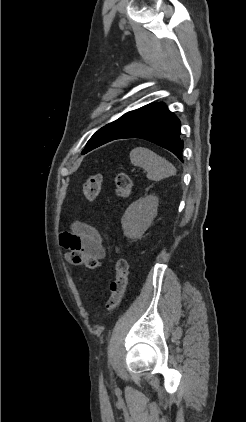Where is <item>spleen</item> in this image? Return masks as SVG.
Listing matches in <instances>:
<instances>
[{"label":"spleen","mask_w":246,"mask_h":422,"mask_svg":"<svg viewBox=\"0 0 246 422\" xmlns=\"http://www.w3.org/2000/svg\"><path fill=\"white\" fill-rule=\"evenodd\" d=\"M130 161L134 166L146 170L147 178L159 181L176 174L172 163L144 147H136L130 152Z\"/></svg>","instance_id":"spleen-1"}]
</instances>
